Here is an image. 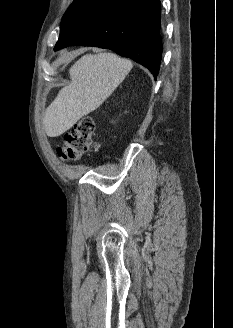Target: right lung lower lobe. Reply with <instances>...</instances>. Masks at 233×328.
Instances as JSON below:
<instances>
[{
    "label": "right lung lower lobe",
    "instance_id": "98d812e1",
    "mask_svg": "<svg viewBox=\"0 0 233 328\" xmlns=\"http://www.w3.org/2000/svg\"><path fill=\"white\" fill-rule=\"evenodd\" d=\"M160 0H92L62 19L54 50L70 45L115 51L157 78L161 57Z\"/></svg>",
    "mask_w": 233,
    "mask_h": 328
}]
</instances>
